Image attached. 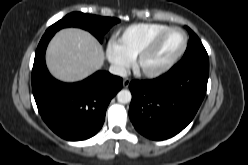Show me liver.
I'll return each instance as SVG.
<instances>
[{
    "instance_id": "6515ba94",
    "label": "liver",
    "mask_w": 248,
    "mask_h": 165,
    "mask_svg": "<svg viewBox=\"0 0 248 165\" xmlns=\"http://www.w3.org/2000/svg\"><path fill=\"white\" fill-rule=\"evenodd\" d=\"M100 43L87 31L62 29L50 41L46 63L50 73L64 82L80 81L104 64Z\"/></svg>"
}]
</instances>
